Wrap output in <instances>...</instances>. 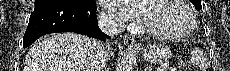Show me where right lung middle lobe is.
Segmentation results:
<instances>
[{"instance_id":"obj_1","label":"right lung middle lobe","mask_w":230,"mask_h":71,"mask_svg":"<svg viewBox=\"0 0 230 71\" xmlns=\"http://www.w3.org/2000/svg\"><path fill=\"white\" fill-rule=\"evenodd\" d=\"M42 1H61V0H35V4ZM63 1L77 2L89 7L96 6L95 0H63Z\"/></svg>"}]
</instances>
